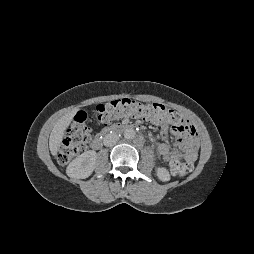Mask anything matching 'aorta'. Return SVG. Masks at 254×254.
<instances>
[{
  "label": "aorta",
  "instance_id": "obj_1",
  "mask_svg": "<svg viewBox=\"0 0 254 254\" xmlns=\"http://www.w3.org/2000/svg\"><path fill=\"white\" fill-rule=\"evenodd\" d=\"M124 137L126 139H133L135 137V131L132 128H128L124 131Z\"/></svg>",
  "mask_w": 254,
  "mask_h": 254
}]
</instances>
